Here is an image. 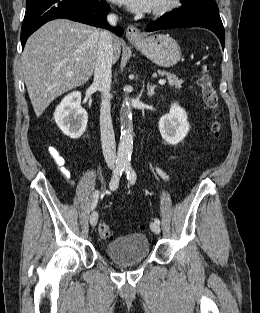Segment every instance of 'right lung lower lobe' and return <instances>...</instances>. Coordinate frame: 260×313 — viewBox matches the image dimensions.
<instances>
[{
  "instance_id": "obj_1",
  "label": "right lung lower lobe",
  "mask_w": 260,
  "mask_h": 313,
  "mask_svg": "<svg viewBox=\"0 0 260 313\" xmlns=\"http://www.w3.org/2000/svg\"><path fill=\"white\" fill-rule=\"evenodd\" d=\"M109 11V4L102 0H27L21 29L22 47L28 37L40 26L57 18H67L106 28L121 35L122 28H113L107 23L106 16Z\"/></svg>"
}]
</instances>
